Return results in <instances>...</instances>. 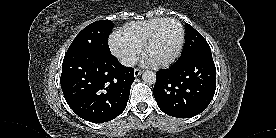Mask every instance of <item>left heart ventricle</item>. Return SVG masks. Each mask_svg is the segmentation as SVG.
Returning a JSON list of instances; mask_svg holds the SVG:
<instances>
[{"instance_id": "left-heart-ventricle-1", "label": "left heart ventricle", "mask_w": 276, "mask_h": 138, "mask_svg": "<svg viewBox=\"0 0 276 138\" xmlns=\"http://www.w3.org/2000/svg\"><path fill=\"white\" fill-rule=\"evenodd\" d=\"M181 38V31L179 26L169 21L164 23L151 47L146 53V59L151 63H160L168 60L175 53Z\"/></svg>"}]
</instances>
